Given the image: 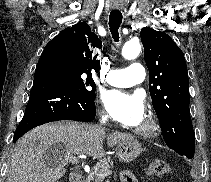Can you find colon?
Returning <instances> with one entry per match:
<instances>
[{
    "mask_svg": "<svg viewBox=\"0 0 211 182\" xmlns=\"http://www.w3.org/2000/svg\"><path fill=\"white\" fill-rule=\"evenodd\" d=\"M170 171V166L167 162L163 160L153 161L148 170V174L153 177H159L167 174Z\"/></svg>",
    "mask_w": 211,
    "mask_h": 182,
    "instance_id": "colon-1",
    "label": "colon"
}]
</instances>
